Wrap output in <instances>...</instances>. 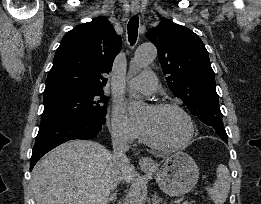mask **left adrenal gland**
<instances>
[{
    "instance_id": "left-adrenal-gland-1",
    "label": "left adrenal gland",
    "mask_w": 261,
    "mask_h": 204,
    "mask_svg": "<svg viewBox=\"0 0 261 204\" xmlns=\"http://www.w3.org/2000/svg\"><path fill=\"white\" fill-rule=\"evenodd\" d=\"M152 203L153 204H159V203H162V199L158 197V195H154L153 198H152Z\"/></svg>"
}]
</instances>
